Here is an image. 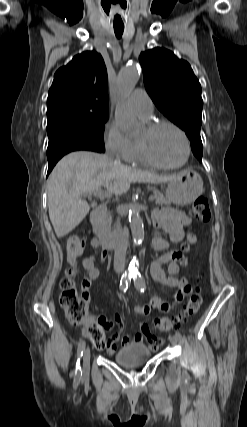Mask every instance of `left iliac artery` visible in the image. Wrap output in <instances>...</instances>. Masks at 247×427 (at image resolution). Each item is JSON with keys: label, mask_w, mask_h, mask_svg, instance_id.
<instances>
[{"label": "left iliac artery", "mask_w": 247, "mask_h": 427, "mask_svg": "<svg viewBox=\"0 0 247 427\" xmlns=\"http://www.w3.org/2000/svg\"><path fill=\"white\" fill-rule=\"evenodd\" d=\"M133 280H134V285L137 288V290L144 292L146 289V285H145V280L144 278L140 275V273H134L133 274ZM175 335L180 339L181 333L179 331H176Z\"/></svg>", "instance_id": "1"}]
</instances>
